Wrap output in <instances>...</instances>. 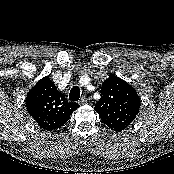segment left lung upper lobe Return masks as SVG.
<instances>
[{
    "instance_id": "1",
    "label": "left lung upper lobe",
    "mask_w": 174,
    "mask_h": 174,
    "mask_svg": "<svg viewBox=\"0 0 174 174\" xmlns=\"http://www.w3.org/2000/svg\"><path fill=\"white\" fill-rule=\"evenodd\" d=\"M136 90L121 78L110 75L101 87V98L95 105L104 124L118 132L136 118L140 109Z\"/></svg>"
}]
</instances>
